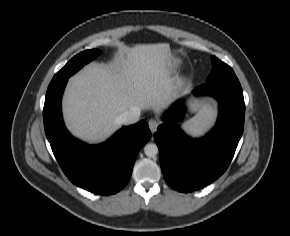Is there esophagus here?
Segmentation results:
<instances>
[{
    "mask_svg": "<svg viewBox=\"0 0 290 236\" xmlns=\"http://www.w3.org/2000/svg\"><path fill=\"white\" fill-rule=\"evenodd\" d=\"M148 125H149V128H150L151 132L152 133H155L156 130H157V127L159 125V121L157 119L151 118L148 121Z\"/></svg>",
    "mask_w": 290,
    "mask_h": 236,
    "instance_id": "1",
    "label": "esophagus"
}]
</instances>
